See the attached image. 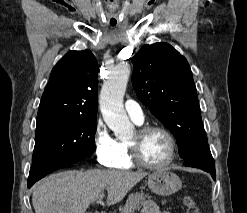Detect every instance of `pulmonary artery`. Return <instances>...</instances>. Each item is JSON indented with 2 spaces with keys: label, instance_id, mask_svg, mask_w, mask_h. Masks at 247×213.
<instances>
[{
  "label": "pulmonary artery",
  "instance_id": "e3ab8cb5",
  "mask_svg": "<svg viewBox=\"0 0 247 213\" xmlns=\"http://www.w3.org/2000/svg\"><path fill=\"white\" fill-rule=\"evenodd\" d=\"M125 110L129 117L137 124H141L144 121V113L139 106L138 103H136L133 100H127L125 102Z\"/></svg>",
  "mask_w": 247,
  "mask_h": 213
}]
</instances>
